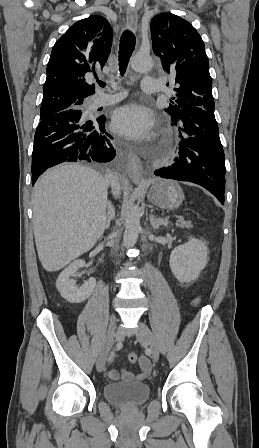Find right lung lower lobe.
Instances as JSON below:
<instances>
[{"label":"right lung lower lobe","mask_w":259,"mask_h":448,"mask_svg":"<svg viewBox=\"0 0 259 448\" xmlns=\"http://www.w3.org/2000/svg\"><path fill=\"white\" fill-rule=\"evenodd\" d=\"M105 116L67 111L41 119L34 136L32 185L48 168L62 162H109L115 155Z\"/></svg>","instance_id":"98d812e1"}]
</instances>
